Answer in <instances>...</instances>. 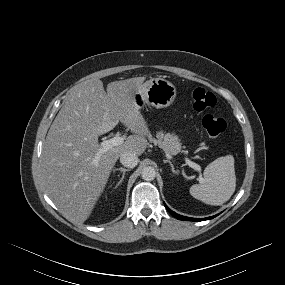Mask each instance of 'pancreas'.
<instances>
[{
	"mask_svg": "<svg viewBox=\"0 0 285 285\" xmlns=\"http://www.w3.org/2000/svg\"><path fill=\"white\" fill-rule=\"evenodd\" d=\"M156 138L149 136V140L162 148L165 153L176 155L182 148L179 138L174 134L158 132Z\"/></svg>",
	"mask_w": 285,
	"mask_h": 285,
	"instance_id": "pancreas-1",
	"label": "pancreas"
}]
</instances>
